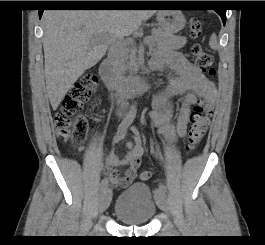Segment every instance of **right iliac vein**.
Returning a JSON list of instances; mask_svg holds the SVG:
<instances>
[{"label":"right iliac vein","instance_id":"obj_1","mask_svg":"<svg viewBox=\"0 0 265 245\" xmlns=\"http://www.w3.org/2000/svg\"><path fill=\"white\" fill-rule=\"evenodd\" d=\"M112 199V190L110 188H106L102 191L100 199H99V213H103L109 206Z\"/></svg>","mask_w":265,"mask_h":245}]
</instances>
